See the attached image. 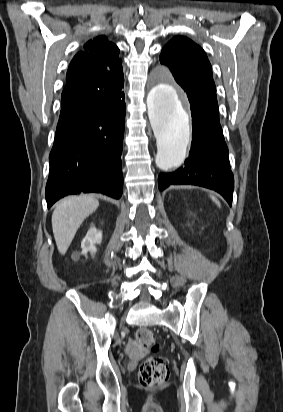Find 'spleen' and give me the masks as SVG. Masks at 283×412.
<instances>
[{
    "label": "spleen",
    "instance_id": "spleen-1",
    "mask_svg": "<svg viewBox=\"0 0 283 412\" xmlns=\"http://www.w3.org/2000/svg\"><path fill=\"white\" fill-rule=\"evenodd\" d=\"M212 200L220 207L219 201L216 199V197L211 196Z\"/></svg>",
    "mask_w": 283,
    "mask_h": 412
}]
</instances>
